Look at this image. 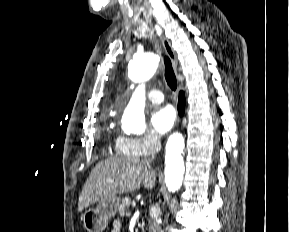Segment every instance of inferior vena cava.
<instances>
[{"instance_id":"1","label":"inferior vena cava","mask_w":289,"mask_h":232,"mask_svg":"<svg viewBox=\"0 0 289 232\" xmlns=\"http://www.w3.org/2000/svg\"><path fill=\"white\" fill-rule=\"evenodd\" d=\"M160 146V138L154 135L151 140V158L146 159L147 162H151L155 158ZM153 209L154 211L149 219V232H163L159 223L160 206L156 204Z\"/></svg>"}]
</instances>
